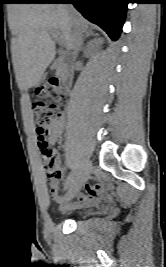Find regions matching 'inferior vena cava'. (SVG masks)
I'll list each match as a JSON object with an SVG mask.
<instances>
[{
	"label": "inferior vena cava",
	"instance_id": "602c4592",
	"mask_svg": "<svg viewBox=\"0 0 166 267\" xmlns=\"http://www.w3.org/2000/svg\"><path fill=\"white\" fill-rule=\"evenodd\" d=\"M71 43L75 53L81 49L82 45V31L77 25H73L71 30Z\"/></svg>",
	"mask_w": 166,
	"mask_h": 267
}]
</instances>
